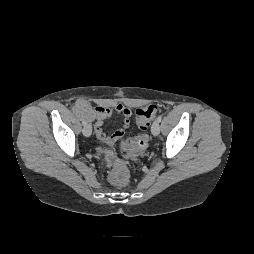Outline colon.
<instances>
[{"label":"colon","instance_id":"1","mask_svg":"<svg viewBox=\"0 0 254 254\" xmlns=\"http://www.w3.org/2000/svg\"><path fill=\"white\" fill-rule=\"evenodd\" d=\"M158 108L154 104L146 105L136 109L137 123L142 132L135 138L128 139L124 142V149L131 154L141 152L144 150L149 141V137L146 134L147 129L151 125ZM113 183L117 185H124L128 182V175L122 169H117L111 176Z\"/></svg>","mask_w":254,"mask_h":254}]
</instances>
